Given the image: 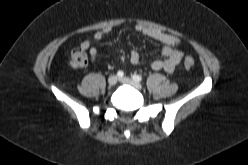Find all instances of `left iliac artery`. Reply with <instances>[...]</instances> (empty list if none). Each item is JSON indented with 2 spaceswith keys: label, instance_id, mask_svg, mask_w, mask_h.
Listing matches in <instances>:
<instances>
[{
  "label": "left iliac artery",
  "instance_id": "obj_1",
  "mask_svg": "<svg viewBox=\"0 0 248 165\" xmlns=\"http://www.w3.org/2000/svg\"><path fill=\"white\" fill-rule=\"evenodd\" d=\"M132 79H133L134 81L139 82V81L142 80V76L134 74V75L132 76Z\"/></svg>",
  "mask_w": 248,
  "mask_h": 165
}]
</instances>
